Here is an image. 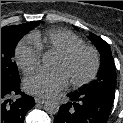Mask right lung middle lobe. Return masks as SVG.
<instances>
[{"instance_id": "dd1d6c3e", "label": "right lung middle lobe", "mask_w": 123, "mask_h": 123, "mask_svg": "<svg viewBox=\"0 0 123 123\" xmlns=\"http://www.w3.org/2000/svg\"><path fill=\"white\" fill-rule=\"evenodd\" d=\"M39 22L32 21L20 25L1 28V80L13 84L20 83L16 64L12 61L18 41Z\"/></svg>"}]
</instances>
